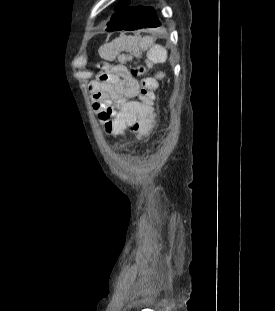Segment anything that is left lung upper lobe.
Listing matches in <instances>:
<instances>
[{"label":"left lung upper lobe","mask_w":275,"mask_h":311,"mask_svg":"<svg viewBox=\"0 0 275 311\" xmlns=\"http://www.w3.org/2000/svg\"><path fill=\"white\" fill-rule=\"evenodd\" d=\"M114 13L107 23L106 31H120L124 30L130 25L142 10V6H127V3H122L116 8Z\"/></svg>","instance_id":"left-lung-upper-lobe-1"}]
</instances>
